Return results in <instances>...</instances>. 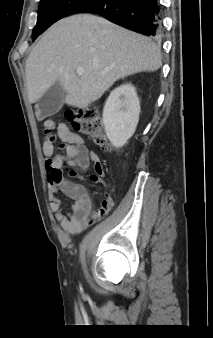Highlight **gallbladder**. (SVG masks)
<instances>
[{
  "mask_svg": "<svg viewBox=\"0 0 213 338\" xmlns=\"http://www.w3.org/2000/svg\"><path fill=\"white\" fill-rule=\"evenodd\" d=\"M66 92L59 82L54 83L36 103L37 118L56 114L62 107Z\"/></svg>",
  "mask_w": 213,
  "mask_h": 338,
  "instance_id": "bac80fb5",
  "label": "gallbladder"
}]
</instances>
